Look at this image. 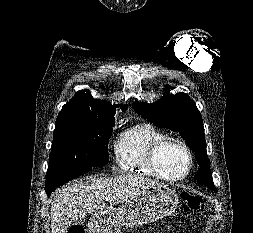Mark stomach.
<instances>
[{
  "label": "stomach",
  "mask_w": 253,
  "mask_h": 233,
  "mask_svg": "<svg viewBox=\"0 0 253 233\" xmlns=\"http://www.w3.org/2000/svg\"><path fill=\"white\" fill-rule=\"evenodd\" d=\"M178 195L160 185L147 189L118 209L105 210L91 217L90 233H119L122 226L133 227L162 219L174 212Z\"/></svg>",
  "instance_id": "obj_1"
}]
</instances>
